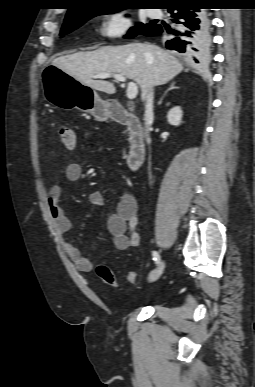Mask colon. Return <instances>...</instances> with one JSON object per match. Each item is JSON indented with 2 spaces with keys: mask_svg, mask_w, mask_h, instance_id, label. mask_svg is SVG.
<instances>
[{
  "mask_svg": "<svg viewBox=\"0 0 255 387\" xmlns=\"http://www.w3.org/2000/svg\"><path fill=\"white\" fill-rule=\"evenodd\" d=\"M59 142L62 147L68 151L73 150L77 143V134L76 132L67 126L60 127L58 131ZM97 274L99 279L110 286H114L116 284L115 275L112 270L102 264L97 267ZM137 280V274L135 272H128L126 274V281L134 284Z\"/></svg>",
  "mask_w": 255,
  "mask_h": 387,
  "instance_id": "colon-1",
  "label": "colon"
}]
</instances>
